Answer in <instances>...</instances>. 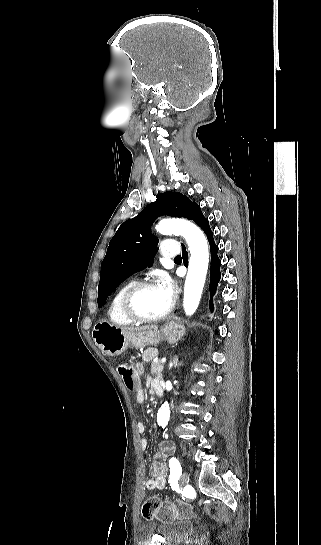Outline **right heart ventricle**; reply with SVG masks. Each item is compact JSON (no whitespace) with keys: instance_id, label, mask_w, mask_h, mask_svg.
<instances>
[{"instance_id":"e07e8e85","label":"right heart ventricle","mask_w":321,"mask_h":545,"mask_svg":"<svg viewBox=\"0 0 321 545\" xmlns=\"http://www.w3.org/2000/svg\"><path fill=\"white\" fill-rule=\"evenodd\" d=\"M134 283L133 280H129V281H126L125 283H123L116 291L115 293L113 294V296L111 297L109 303H108V306H107V318L110 322V324L114 327H117V328H124V327H127L129 325H131L128 321H126L121 313H120V309H119V302H120V297L122 295V293L130 286Z\"/></svg>"}]
</instances>
